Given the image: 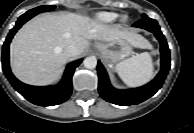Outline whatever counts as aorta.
<instances>
[{"label":"aorta","instance_id":"obj_1","mask_svg":"<svg viewBox=\"0 0 194 133\" xmlns=\"http://www.w3.org/2000/svg\"><path fill=\"white\" fill-rule=\"evenodd\" d=\"M84 67L87 69H93L97 65V59L94 56L85 58L83 61Z\"/></svg>","mask_w":194,"mask_h":133}]
</instances>
